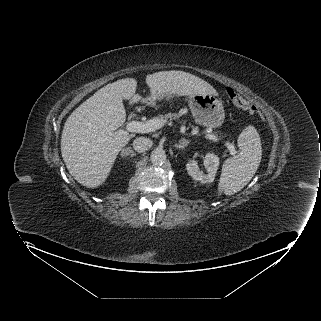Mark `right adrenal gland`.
<instances>
[{
  "label": "right adrenal gland",
  "instance_id": "2a0ac1e0",
  "mask_svg": "<svg viewBox=\"0 0 321 321\" xmlns=\"http://www.w3.org/2000/svg\"><path fill=\"white\" fill-rule=\"evenodd\" d=\"M121 155L122 156L130 155L131 157H134V156H136V153L132 150L131 147H129V148L122 149Z\"/></svg>",
  "mask_w": 321,
  "mask_h": 321
}]
</instances>
